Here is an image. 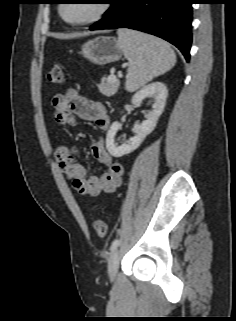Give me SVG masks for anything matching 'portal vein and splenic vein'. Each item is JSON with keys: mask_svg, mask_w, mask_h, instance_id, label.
Here are the masks:
<instances>
[{"mask_svg": "<svg viewBox=\"0 0 236 321\" xmlns=\"http://www.w3.org/2000/svg\"><path fill=\"white\" fill-rule=\"evenodd\" d=\"M115 79H116V76H115V75H110V76H109V81L115 80Z\"/></svg>", "mask_w": 236, "mask_h": 321, "instance_id": "18ae733b", "label": "portal vein and splenic vein"}]
</instances>
